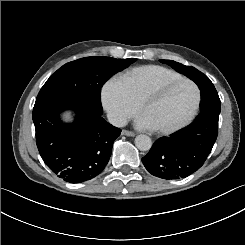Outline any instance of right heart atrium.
Instances as JSON below:
<instances>
[{"label":"right heart atrium","instance_id":"1","mask_svg":"<svg viewBox=\"0 0 245 245\" xmlns=\"http://www.w3.org/2000/svg\"><path fill=\"white\" fill-rule=\"evenodd\" d=\"M102 101L111 118L116 124H124L137 111V102L134 101L125 88L110 81L102 90Z\"/></svg>","mask_w":245,"mask_h":245}]
</instances>
